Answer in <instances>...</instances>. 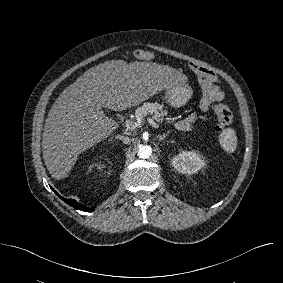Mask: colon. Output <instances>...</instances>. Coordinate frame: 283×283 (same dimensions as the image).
<instances>
[{
    "label": "colon",
    "instance_id": "colon-1",
    "mask_svg": "<svg viewBox=\"0 0 283 283\" xmlns=\"http://www.w3.org/2000/svg\"><path fill=\"white\" fill-rule=\"evenodd\" d=\"M134 56L141 60H149L151 58V53L145 50H137L134 52ZM213 111L218 119L217 130L221 132L227 129L233 120L231 110L223 104H217L213 107Z\"/></svg>",
    "mask_w": 283,
    "mask_h": 283
}]
</instances>
